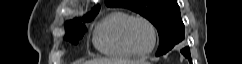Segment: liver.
I'll return each instance as SVG.
<instances>
[{
    "mask_svg": "<svg viewBox=\"0 0 242 64\" xmlns=\"http://www.w3.org/2000/svg\"><path fill=\"white\" fill-rule=\"evenodd\" d=\"M142 61L114 60V59H94L85 64H138Z\"/></svg>",
    "mask_w": 242,
    "mask_h": 64,
    "instance_id": "6515ba94",
    "label": "liver"
}]
</instances>
